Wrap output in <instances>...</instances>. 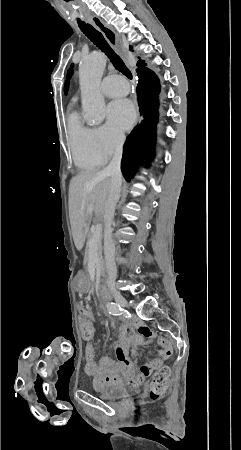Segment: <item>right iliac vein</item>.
Listing matches in <instances>:
<instances>
[{"instance_id":"63e3f726","label":"right iliac vein","mask_w":241,"mask_h":450,"mask_svg":"<svg viewBox=\"0 0 241 450\" xmlns=\"http://www.w3.org/2000/svg\"><path fill=\"white\" fill-rule=\"evenodd\" d=\"M113 298L115 299V301H116L120 306H123V307H126V306H127V301H126V299H125L119 292H115V293L113 294Z\"/></svg>"}]
</instances>
